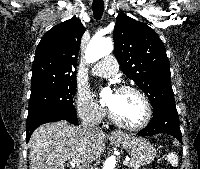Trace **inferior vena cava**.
Masks as SVG:
<instances>
[{
  "label": "inferior vena cava",
  "instance_id": "602c4592",
  "mask_svg": "<svg viewBox=\"0 0 200 169\" xmlns=\"http://www.w3.org/2000/svg\"><path fill=\"white\" fill-rule=\"evenodd\" d=\"M82 127H83V130H84L85 132H87V131H93V132H95V131H98V130H99V128H98L97 125H95V124H90V123H88V122H83V123H82Z\"/></svg>",
  "mask_w": 200,
  "mask_h": 169
}]
</instances>
